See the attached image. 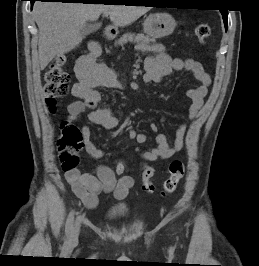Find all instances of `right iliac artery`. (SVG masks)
Segmentation results:
<instances>
[{"label": "right iliac artery", "instance_id": "1", "mask_svg": "<svg viewBox=\"0 0 259 266\" xmlns=\"http://www.w3.org/2000/svg\"><path fill=\"white\" fill-rule=\"evenodd\" d=\"M73 222H74V212H70L65 227V236L66 240L69 241L71 239L72 229H73Z\"/></svg>", "mask_w": 259, "mask_h": 266}]
</instances>
